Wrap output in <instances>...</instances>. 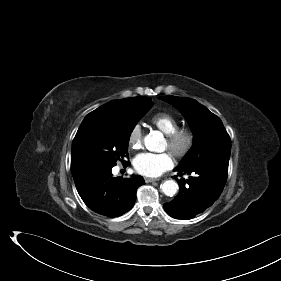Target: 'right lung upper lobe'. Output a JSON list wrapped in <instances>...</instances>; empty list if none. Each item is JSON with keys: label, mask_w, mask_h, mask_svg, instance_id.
Listing matches in <instances>:
<instances>
[{"label": "right lung upper lobe", "mask_w": 281, "mask_h": 281, "mask_svg": "<svg viewBox=\"0 0 281 281\" xmlns=\"http://www.w3.org/2000/svg\"><path fill=\"white\" fill-rule=\"evenodd\" d=\"M143 98L144 97H134V98L110 101V102L100 106L96 110L92 111L91 113H89L84 118L81 126L90 119H107V118H115V117L124 115L128 110L132 109L134 106L139 104L143 100ZM72 156L73 155L71 154V171H72V175H73L80 170L74 166Z\"/></svg>", "instance_id": "obj_1"}]
</instances>
